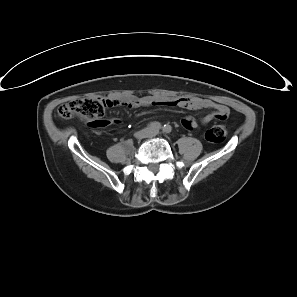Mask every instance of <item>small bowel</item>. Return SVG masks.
<instances>
[{"label":"small bowel","mask_w":297,"mask_h":297,"mask_svg":"<svg viewBox=\"0 0 297 297\" xmlns=\"http://www.w3.org/2000/svg\"><path fill=\"white\" fill-rule=\"evenodd\" d=\"M108 102L111 107L125 106L128 108H138L145 106H171L186 110L213 109L212 112L203 117L202 122L204 124H208L215 119L225 120L230 114V109L226 105L198 97L161 99L152 96L140 98L131 96L110 99ZM109 123L110 122L106 119H87L85 121V126L87 128H94L95 130H106ZM111 123H119V121L113 120ZM182 124L187 129H195L198 126L197 122L191 117L183 119Z\"/></svg>","instance_id":"1"}]
</instances>
